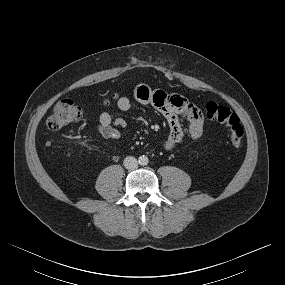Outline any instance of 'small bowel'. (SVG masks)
I'll use <instances>...</instances> for the list:
<instances>
[{
    "mask_svg": "<svg viewBox=\"0 0 285 285\" xmlns=\"http://www.w3.org/2000/svg\"><path fill=\"white\" fill-rule=\"evenodd\" d=\"M135 100L143 105H151L157 109L169 126V135L162 146L166 151L174 150L183 142L185 137L198 139L203 133L204 116L199 107L190 103L185 97L178 94H167L163 90H152L144 84L137 85L133 92ZM132 105L128 96H120L117 99V107L121 111H127ZM179 117L188 121V127L184 128ZM99 134L112 140H119L128 132V123L122 117H114L109 111H103L99 117Z\"/></svg>",
    "mask_w": 285,
    "mask_h": 285,
    "instance_id": "c3829d8e",
    "label": "small bowel"
}]
</instances>
